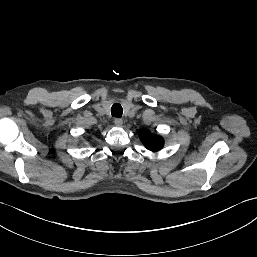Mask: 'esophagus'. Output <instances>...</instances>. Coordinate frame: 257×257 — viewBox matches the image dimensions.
I'll return each mask as SVG.
<instances>
[{
  "mask_svg": "<svg viewBox=\"0 0 257 257\" xmlns=\"http://www.w3.org/2000/svg\"><path fill=\"white\" fill-rule=\"evenodd\" d=\"M114 123H115L116 126L120 127L123 124V120L120 119V118H115Z\"/></svg>",
  "mask_w": 257,
  "mask_h": 257,
  "instance_id": "obj_1",
  "label": "esophagus"
}]
</instances>
